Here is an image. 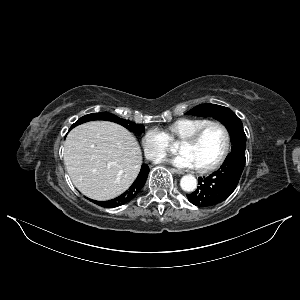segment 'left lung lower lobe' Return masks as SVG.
Returning <instances> with one entry per match:
<instances>
[{
	"mask_svg": "<svg viewBox=\"0 0 300 300\" xmlns=\"http://www.w3.org/2000/svg\"><path fill=\"white\" fill-rule=\"evenodd\" d=\"M245 165V153L231 152L221 168L208 177H199L197 190L187 195L188 200L199 207L217 205L235 190Z\"/></svg>",
	"mask_w": 300,
	"mask_h": 300,
	"instance_id": "1",
	"label": "left lung lower lobe"
}]
</instances>
